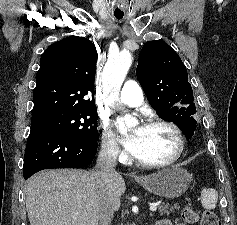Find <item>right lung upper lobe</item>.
I'll use <instances>...</instances> for the list:
<instances>
[{"instance_id":"1","label":"right lung upper lobe","mask_w":237,"mask_h":225,"mask_svg":"<svg viewBox=\"0 0 237 225\" xmlns=\"http://www.w3.org/2000/svg\"><path fill=\"white\" fill-rule=\"evenodd\" d=\"M96 60L94 44L85 37L69 36L51 44L36 75L31 121L95 108Z\"/></svg>"}]
</instances>
